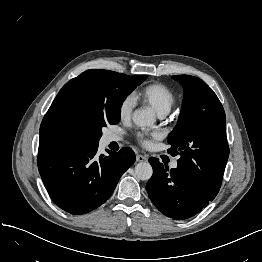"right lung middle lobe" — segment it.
<instances>
[{
	"instance_id": "dd1d6c3e",
	"label": "right lung middle lobe",
	"mask_w": 262,
	"mask_h": 262,
	"mask_svg": "<svg viewBox=\"0 0 262 262\" xmlns=\"http://www.w3.org/2000/svg\"><path fill=\"white\" fill-rule=\"evenodd\" d=\"M146 78V75L116 73L109 88L108 100L93 90L81 91L71 113L70 141L98 145L102 128L119 122L124 99Z\"/></svg>"
}]
</instances>
